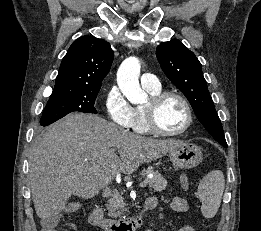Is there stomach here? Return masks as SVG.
Here are the masks:
<instances>
[{"label": "stomach", "instance_id": "obj_1", "mask_svg": "<svg viewBox=\"0 0 261 231\" xmlns=\"http://www.w3.org/2000/svg\"><path fill=\"white\" fill-rule=\"evenodd\" d=\"M169 158L177 169H190L202 161V152L194 144L182 142L169 151Z\"/></svg>", "mask_w": 261, "mask_h": 231}]
</instances>
